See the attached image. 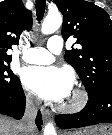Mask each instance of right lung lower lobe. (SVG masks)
<instances>
[{
	"label": "right lung lower lobe",
	"mask_w": 112,
	"mask_h": 135,
	"mask_svg": "<svg viewBox=\"0 0 112 135\" xmlns=\"http://www.w3.org/2000/svg\"><path fill=\"white\" fill-rule=\"evenodd\" d=\"M25 110V95L22 87L16 92L8 95H0V113L5 114L15 119H21ZM42 118L38 112L36 125L40 129Z\"/></svg>",
	"instance_id": "obj_1"
}]
</instances>
